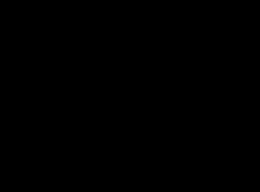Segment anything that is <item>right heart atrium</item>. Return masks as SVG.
Wrapping results in <instances>:
<instances>
[{
  "mask_svg": "<svg viewBox=\"0 0 260 192\" xmlns=\"http://www.w3.org/2000/svg\"><path fill=\"white\" fill-rule=\"evenodd\" d=\"M113 66L114 69L118 68L120 70V68H122V70H124V67H121L119 64L117 65L116 63H114Z\"/></svg>",
  "mask_w": 260,
  "mask_h": 192,
  "instance_id": "1",
  "label": "right heart atrium"
}]
</instances>
